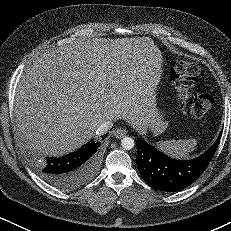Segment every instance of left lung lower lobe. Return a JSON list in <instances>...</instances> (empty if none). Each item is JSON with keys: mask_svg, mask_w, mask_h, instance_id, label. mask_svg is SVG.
Returning a JSON list of instances; mask_svg holds the SVG:
<instances>
[{"mask_svg": "<svg viewBox=\"0 0 231 231\" xmlns=\"http://www.w3.org/2000/svg\"><path fill=\"white\" fill-rule=\"evenodd\" d=\"M192 160H175L142 139H137L136 165L142 178L156 190L175 192L192 184L209 165L220 141Z\"/></svg>", "mask_w": 231, "mask_h": 231, "instance_id": "obj_1", "label": "left lung lower lobe"}]
</instances>
